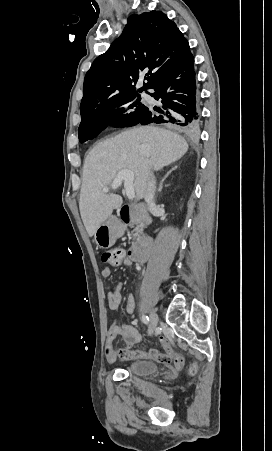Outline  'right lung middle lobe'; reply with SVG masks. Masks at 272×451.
I'll return each instance as SVG.
<instances>
[{
    "instance_id": "dd1d6c3e",
    "label": "right lung middle lobe",
    "mask_w": 272,
    "mask_h": 451,
    "mask_svg": "<svg viewBox=\"0 0 272 451\" xmlns=\"http://www.w3.org/2000/svg\"><path fill=\"white\" fill-rule=\"evenodd\" d=\"M136 95L126 96L94 106L81 113L78 129L81 143L93 139L108 125L126 127L136 125L149 110Z\"/></svg>"
}]
</instances>
